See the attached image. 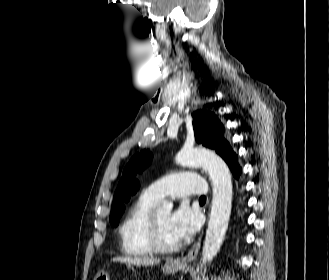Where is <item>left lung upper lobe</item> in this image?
<instances>
[{
	"instance_id": "5c2ea615",
	"label": "left lung upper lobe",
	"mask_w": 329,
	"mask_h": 280,
	"mask_svg": "<svg viewBox=\"0 0 329 280\" xmlns=\"http://www.w3.org/2000/svg\"><path fill=\"white\" fill-rule=\"evenodd\" d=\"M193 129L197 142L209 148H214L229 166L238 162L237 155L224 139V126L214 113L206 110H198L193 113ZM151 158V153L143 151L132 157L125 167L118 188L114 193L109 218L113 226L118 225L119 219L125 210V202H128L130 195L134 194L139 188V182L135 179L136 174L150 164Z\"/></svg>"
}]
</instances>
